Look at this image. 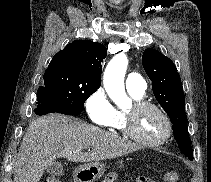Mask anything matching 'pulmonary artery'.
<instances>
[{
	"mask_svg": "<svg viewBox=\"0 0 211 182\" xmlns=\"http://www.w3.org/2000/svg\"><path fill=\"white\" fill-rule=\"evenodd\" d=\"M128 92L142 96L146 90V82L139 73H130L125 81Z\"/></svg>",
	"mask_w": 211,
	"mask_h": 182,
	"instance_id": "e3ab8cb5",
	"label": "pulmonary artery"
}]
</instances>
